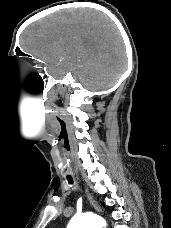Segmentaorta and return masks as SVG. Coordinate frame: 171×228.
Segmentation results:
<instances>
[{"instance_id":"obj_1","label":"aorta","mask_w":171,"mask_h":228,"mask_svg":"<svg viewBox=\"0 0 171 228\" xmlns=\"http://www.w3.org/2000/svg\"><path fill=\"white\" fill-rule=\"evenodd\" d=\"M67 228H106V222L95 214L85 213L74 216Z\"/></svg>"}]
</instances>
